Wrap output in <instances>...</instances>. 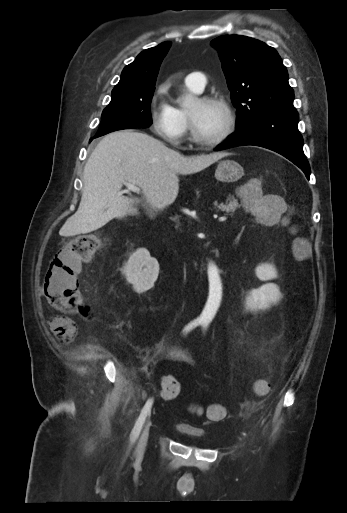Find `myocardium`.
Segmentation results:
<instances>
[{
    "mask_svg": "<svg viewBox=\"0 0 347 513\" xmlns=\"http://www.w3.org/2000/svg\"><path fill=\"white\" fill-rule=\"evenodd\" d=\"M199 101L204 102V103H213V104L220 106L224 110L225 115H226V125H225V128L222 131V133L219 134L217 137H215L213 139H204V138L200 137L199 134L197 133V131L194 127L193 121L188 114V123H189L191 138L196 144L203 146V147L217 146L233 133V131L235 129V124H236V118H235L234 112H233L230 104L225 99H223L221 97L203 96L199 99Z\"/></svg>",
    "mask_w": 347,
    "mask_h": 513,
    "instance_id": "1",
    "label": "myocardium"
}]
</instances>
